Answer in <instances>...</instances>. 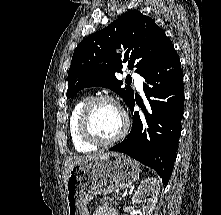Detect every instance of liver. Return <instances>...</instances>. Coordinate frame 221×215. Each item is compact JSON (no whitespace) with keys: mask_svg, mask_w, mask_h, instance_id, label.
Here are the masks:
<instances>
[{"mask_svg":"<svg viewBox=\"0 0 221 215\" xmlns=\"http://www.w3.org/2000/svg\"><path fill=\"white\" fill-rule=\"evenodd\" d=\"M103 153H98V154H92V155H86V156H74V157H68L65 161L64 164V183L66 184L67 181V177L71 171V169L73 168L74 165H76L79 162H82L84 160L87 159H93V158H97L99 156H101Z\"/></svg>","mask_w":221,"mask_h":215,"instance_id":"liver-1","label":"liver"}]
</instances>
